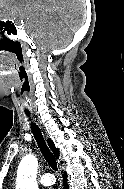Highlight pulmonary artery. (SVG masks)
<instances>
[{
  "mask_svg": "<svg viewBox=\"0 0 124 189\" xmlns=\"http://www.w3.org/2000/svg\"><path fill=\"white\" fill-rule=\"evenodd\" d=\"M39 181L42 185L50 186L53 185L56 181L55 177L51 173H45L40 176Z\"/></svg>",
  "mask_w": 124,
  "mask_h": 189,
  "instance_id": "e3ab8cb5",
  "label": "pulmonary artery"
}]
</instances>
